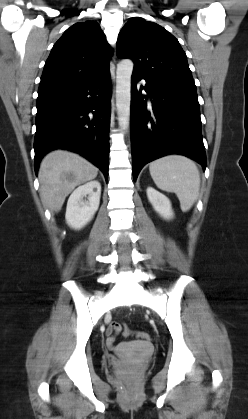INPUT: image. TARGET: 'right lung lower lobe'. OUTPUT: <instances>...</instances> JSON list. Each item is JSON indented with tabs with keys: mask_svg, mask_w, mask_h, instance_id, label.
I'll return each instance as SVG.
<instances>
[{
	"mask_svg": "<svg viewBox=\"0 0 248 419\" xmlns=\"http://www.w3.org/2000/svg\"><path fill=\"white\" fill-rule=\"evenodd\" d=\"M111 79L99 76L72 85L39 89L34 140L35 171L57 148L86 157L108 178Z\"/></svg>",
	"mask_w": 248,
	"mask_h": 419,
	"instance_id": "obj_1",
	"label": "right lung lower lobe"
}]
</instances>
